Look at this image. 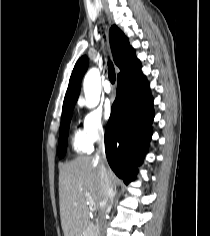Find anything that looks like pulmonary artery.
I'll return each instance as SVG.
<instances>
[{"label":"pulmonary artery","mask_w":210,"mask_h":236,"mask_svg":"<svg viewBox=\"0 0 210 236\" xmlns=\"http://www.w3.org/2000/svg\"><path fill=\"white\" fill-rule=\"evenodd\" d=\"M104 91H105L106 93H111V92H112L111 85H110V83H109L108 81H106V82L104 83Z\"/></svg>","instance_id":"obj_1"}]
</instances>
